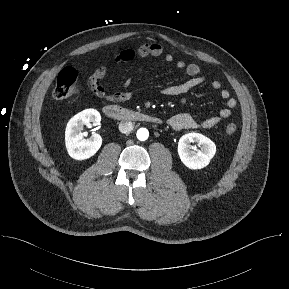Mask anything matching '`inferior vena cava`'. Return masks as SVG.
<instances>
[{"label":"inferior vena cava","instance_id":"1","mask_svg":"<svg viewBox=\"0 0 289 289\" xmlns=\"http://www.w3.org/2000/svg\"><path fill=\"white\" fill-rule=\"evenodd\" d=\"M133 128L134 125L131 121H122L119 124V131L124 134L130 133Z\"/></svg>","mask_w":289,"mask_h":289}]
</instances>
